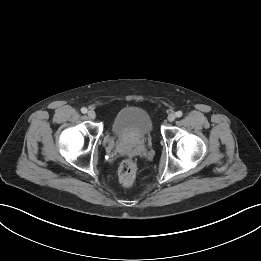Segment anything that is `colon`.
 <instances>
[{
  "instance_id": "colon-1",
  "label": "colon",
  "mask_w": 261,
  "mask_h": 261,
  "mask_svg": "<svg viewBox=\"0 0 261 261\" xmlns=\"http://www.w3.org/2000/svg\"><path fill=\"white\" fill-rule=\"evenodd\" d=\"M137 174V165L131 159L124 160L119 167L118 177L121 184L130 186L133 184Z\"/></svg>"
}]
</instances>
